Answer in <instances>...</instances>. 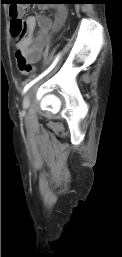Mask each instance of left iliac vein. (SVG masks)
Instances as JSON below:
<instances>
[{"instance_id":"left-iliac-vein-1","label":"left iliac vein","mask_w":122,"mask_h":257,"mask_svg":"<svg viewBox=\"0 0 122 257\" xmlns=\"http://www.w3.org/2000/svg\"><path fill=\"white\" fill-rule=\"evenodd\" d=\"M57 70V68L54 70V72ZM30 105V93L28 92L27 94H25L24 98H23V102H22V106L23 109L26 110L28 109Z\"/></svg>"}]
</instances>
